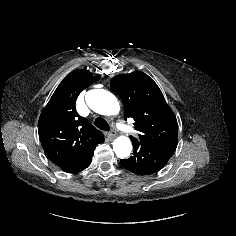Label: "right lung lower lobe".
I'll return each instance as SVG.
<instances>
[{
	"label": "right lung lower lobe",
	"mask_w": 236,
	"mask_h": 236,
	"mask_svg": "<svg viewBox=\"0 0 236 236\" xmlns=\"http://www.w3.org/2000/svg\"><path fill=\"white\" fill-rule=\"evenodd\" d=\"M95 147H91L78 156L56 165L67 173L80 172L91 164Z\"/></svg>",
	"instance_id": "obj_1"
}]
</instances>
